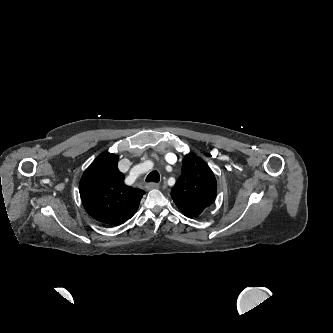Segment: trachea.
<instances>
[{
    "mask_svg": "<svg viewBox=\"0 0 333 333\" xmlns=\"http://www.w3.org/2000/svg\"><path fill=\"white\" fill-rule=\"evenodd\" d=\"M160 180V175L157 171H152L151 173L148 174V176L146 177V181L147 182H159Z\"/></svg>",
    "mask_w": 333,
    "mask_h": 333,
    "instance_id": "3493384b",
    "label": "trachea"
}]
</instances>
